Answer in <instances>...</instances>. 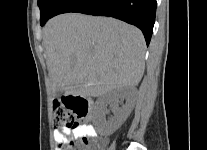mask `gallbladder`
<instances>
[{"label":"gallbladder","instance_id":"1","mask_svg":"<svg viewBox=\"0 0 207 150\" xmlns=\"http://www.w3.org/2000/svg\"><path fill=\"white\" fill-rule=\"evenodd\" d=\"M63 93L62 87H58L56 90V94L59 96Z\"/></svg>","mask_w":207,"mask_h":150}]
</instances>
